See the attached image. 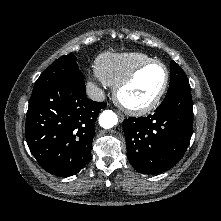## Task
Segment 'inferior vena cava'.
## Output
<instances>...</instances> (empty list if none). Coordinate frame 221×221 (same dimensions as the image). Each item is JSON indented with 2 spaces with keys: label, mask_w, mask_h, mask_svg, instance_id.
Instances as JSON below:
<instances>
[{
  "label": "inferior vena cava",
  "mask_w": 221,
  "mask_h": 221,
  "mask_svg": "<svg viewBox=\"0 0 221 221\" xmlns=\"http://www.w3.org/2000/svg\"><path fill=\"white\" fill-rule=\"evenodd\" d=\"M87 96L94 101H103L105 99V94L102 89L91 84L86 89Z\"/></svg>",
  "instance_id": "602c4592"
}]
</instances>
